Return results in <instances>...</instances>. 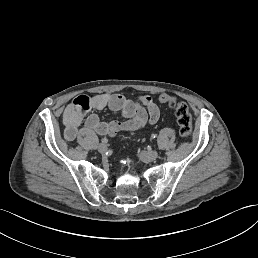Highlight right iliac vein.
<instances>
[{
  "label": "right iliac vein",
  "instance_id": "1",
  "mask_svg": "<svg viewBox=\"0 0 258 258\" xmlns=\"http://www.w3.org/2000/svg\"><path fill=\"white\" fill-rule=\"evenodd\" d=\"M96 150H97V152H99V153H101V154H104V153L107 152L108 147H107L106 144L101 143V144L97 145Z\"/></svg>",
  "mask_w": 258,
  "mask_h": 258
}]
</instances>
